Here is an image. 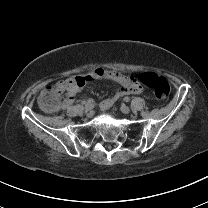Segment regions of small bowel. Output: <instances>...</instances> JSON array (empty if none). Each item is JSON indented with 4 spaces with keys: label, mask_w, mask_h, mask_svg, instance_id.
Listing matches in <instances>:
<instances>
[{
    "label": "small bowel",
    "mask_w": 208,
    "mask_h": 208,
    "mask_svg": "<svg viewBox=\"0 0 208 208\" xmlns=\"http://www.w3.org/2000/svg\"><path fill=\"white\" fill-rule=\"evenodd\" d=\"M98 78H106L116 81L121 85L111 96L107 97L101 102V108L103 110H109L119 99L130 94H140L142 93L141 86L129 75L120 72L106 70L102 67H97L91 73L86 75H78L67 78L72 84L71 95L64 100L62 109L68 110L70 105H72L76 94L84 87V85Z\"/></svg>",
    "instance_id": "c3829d8e"
}]
</instances>
